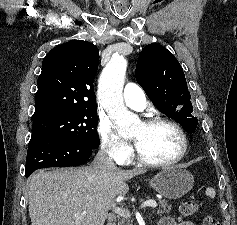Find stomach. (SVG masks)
Returning <instances> with one entry per match:
<instances>
[{"instance_id": "obj_1", "label": "stomach", "mask_w": 237, "mask_h": 225, "mask_svg": "<svg viewBox=\"0 0 237 225\" xmlns=\"http://www.w3.org/2000/svg\"><path fill=\"white\" fill-rule=\"evenodd\" d=\"M150 186L168 199H178L193 187L194 177L177 166L165 168L149 180Z\"/></svg>"}]
</instances>
